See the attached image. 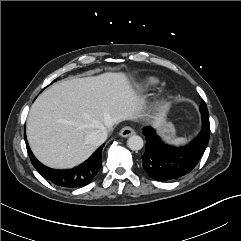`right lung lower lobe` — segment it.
<instances>
[{"instance_id": "right-lung-lower-lobe-1", "label": "right lung lower lobe", "mask_w": 241, "mask_h": 241, "mask_svg": "<svg viewBox=\"0 0 241 241\" xmlns=\"http://www.w3.org/2000/svg\"><path fill=\"white\" fill-rule=\"evenodd\" d=\"M25 142L29 157L36 170L43 177L47 179L49 178L50 181L57 182L61 187L77 188L87 185L92 181L102 166L101 154L104 144L100 146L89 159L78 167L69 170H55L46 167L35 158L26 140V135Z\"/></svg>"}]
</instances>
